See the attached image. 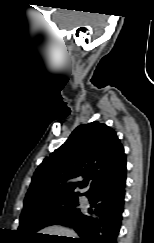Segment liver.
Masks as SVG:
<instances>
[{"label":"liver","mask_w":154,"mask_h":243,"mask_svg":"<svg viewBox=\"0 0 154 243\" xmlns=\"http://www.w3.org/2000/svg\"><path fill=\"white\" fill-rule=\"evenodd\" d=\"M42 234H49V235H57V236H65V237H72L77 238V234L68 228L62 227V226H49L44 228L41 231ZM72 238H66V239H72ZM67 241V240H64Z\"/></svg>","instance_id":"liver-1"}]
</instances>
